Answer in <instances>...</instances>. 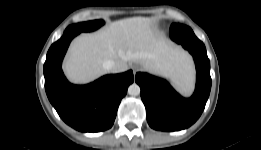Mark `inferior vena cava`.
Instances as JSON below:
<instances>
[{"mask_svg": "<svg viewBox=\"0 0 261 150\" xmlns=\"http://www.w3.org/2000/svg\"><path fill=\"white\" fill-rule=\"evenodd\" d=\"M105 68L114 73H119L127 70L128 65L123 61H107Z\"/></svg>", "mask_w": 261, "mask_h": 150, "instance_id": "602c4592", "label": "inferior vena cava"}]
</instances>
